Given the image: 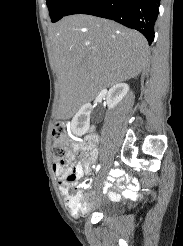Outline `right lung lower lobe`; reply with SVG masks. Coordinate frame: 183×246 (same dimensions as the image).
<instances>
[{"label":"right lung lower lobe","mask_w":183,"mask_h":246,"mask_svg":"<svg viewBox=\"0 0 183 246\" xmlns=\"http://www.w3.org/2000/svg\"><path fill=\"white\" fill-rule=\"evenodd\" d=\"M159 5L160 0H76L65 16L89 14L111 19L141 32L151 44Z\"/></svg>","instance_id":"98d812e1"}]
</instances>
